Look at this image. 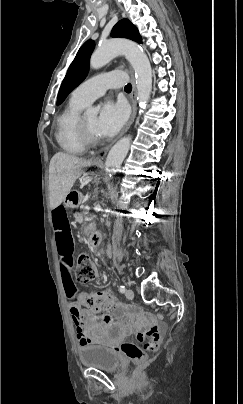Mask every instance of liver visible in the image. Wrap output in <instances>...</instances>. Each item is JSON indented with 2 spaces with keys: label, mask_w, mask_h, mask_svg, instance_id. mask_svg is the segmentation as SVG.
<instances>
[{
  "label": "liver",
  "mask_w": 243,
  "mask_h": 404,
  "mask_svg": "<svg viewBox=\"0 0 243 404\" xmlns=\"http://www.w3.org/2000/svg\"><path fill=\"white\" fill-rule=\"evenodd\" d=\"M92 160L76 158L71 154L58 152L53 156L49 166V204L51 210L64 202L71 192L77 178L82 176V168L91 166Z\"/></svg>",
  "instance_id": "liver-1"
}]
</instances>
